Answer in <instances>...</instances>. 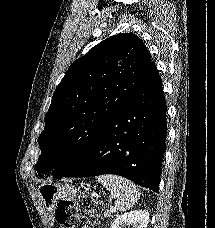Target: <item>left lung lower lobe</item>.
I'll use <instances>...</instances> for the list:
<instances>
[{
	"label": "left lung lower lobe",
	"instance_id": "1",
	"mask_svg": "<svg viewBox=\"0 0 215 228\" xmlns=\"http://www.w3.org/2000/svg\"><path fill=\"white\" fill-rule=\"evenodd\" d=\"M166 112L162 81L152 62L89 151L57 178L115 174L158 192L166 148Z\"/></svg>",
	"mask_w": 215,
	"mask_h": 228
}]
</instances>
